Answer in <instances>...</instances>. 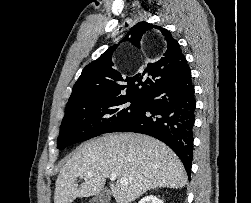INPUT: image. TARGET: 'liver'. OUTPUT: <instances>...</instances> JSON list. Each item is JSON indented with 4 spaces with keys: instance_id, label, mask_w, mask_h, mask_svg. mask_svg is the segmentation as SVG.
I'll use <instances>...</instances> for the list:
<instances>
[{
    "instance_id": "6515ba94",
    "label": "liver",
    "mask_w": 251,
    "mask_h": 203,
    "mask_svg": "<svg viewBox=\"0 0 251 203\" xmlns=\"http://www.w3.org/2000/svg\"><path fill=\"white\" fill-rule=\"evenodd\" d=\"M112 173L118 178L110 185L117 203H131L151 189L182 188L187 182L182 162L164 143L142 134L112 133L82 144L66 161L56 180L54 203L96 196ZM77 178L84 180L80 186Z\"/></svg>"
}]
</instances>
